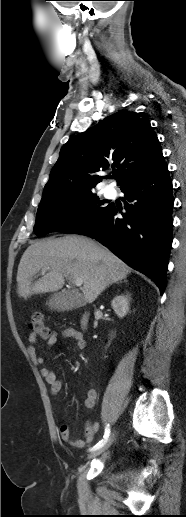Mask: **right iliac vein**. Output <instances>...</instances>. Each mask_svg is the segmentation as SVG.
<instances>
[{
  "instance_id": "1",
  "label": "right iliac vein",
  "mask_w": 186,
  "mask_h": 517,
  "mask_svg": "<svg viewBox=\"0 0 186 517\" xmlns=\"http://www.w3.org/2000/svg\"><path fill=\"white\" fill-rule=\"evenodd\" d=\"M113 440H114V434H112L109 437V439L107 440V442L103 446H101L100 448H97V449L93 450L92 452H90L88 454V459L95 458V457L99 456L100 454H102L105 450H107L110 447V445L112 444Z\"/></svg>"
}]
</instances>
